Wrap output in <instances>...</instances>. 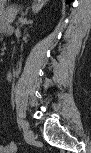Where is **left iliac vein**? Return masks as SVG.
Returning <instances> with one entry per match:
<instances>
[{
  "mask_svg": "<svg viewBox=\"0 0 91 153\" xmlns=\"http://www.w3.org/2000/svg\"><path fill=\"white\" fill-rule=\"evenodd\" d=\"M26 123V122H25ZM27 124V123H26ZM28 141L29 142H34L35 141V135L34 133L28 129Z\"/></svg>",
  "mask_w": 91,
  "mask_h": 153,
  "instance_id": "left-iliac-vein-1",
  "label": "left iliac vein"
}]
</instances>
